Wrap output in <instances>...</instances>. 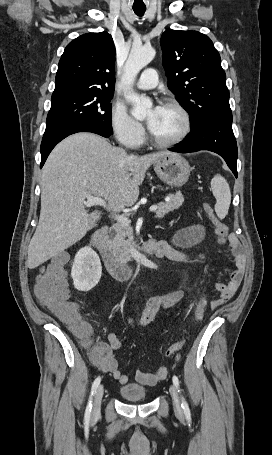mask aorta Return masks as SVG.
Segmentation results:
<instances>
[{
    "mask_svg": "<svg viewBox=\"0 0 272 455\" xmlns=\"http://www.w3.org/2000/svg\"><path fill=\"white\" fill-rule=\"evenodd\" d=\"M155 50L151 46L132 48L126 61L122 82L127 86L125 98L132 104V116L143 120L152 107V101L145 96H140L132 89L134 80L139 71L148 65L155 57Z\"/></svg>",
    "mask_w": 272,
    "mask_h": 455,
    "instance_id": "1",
    "label": "aorta"
}]
</instances>
